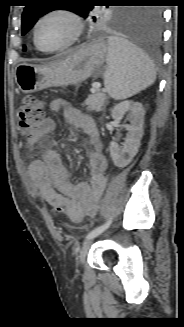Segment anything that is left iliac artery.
<instances>
[{"label": "left iliac artery", "mask_w": 184, "mask_h": 327, "mask_svg": "<svg viewBox=\"0 0 184 327\" xmlns=\"http://www.w3.org/2000/svg\"><path fill=\"white\" fill-rule=\"evenodd\" d=\"M112 222V218L109 219L106 223H104L101 226H98L97 228L93 229L91 232L88 233V235L86 236V239H91L93 237L98 236L99 234H101L103 231H105L111 224Z\"/></svg>", "instance_id": "44dca946"}]
</instances>
